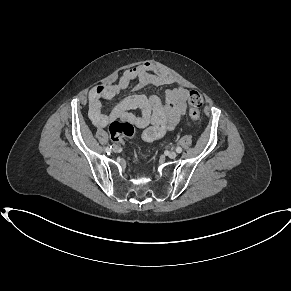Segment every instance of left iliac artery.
<instances>
[{"label":"left iliac artery","mask_w":291,"mask_h":291,"mask_svg":"<svg viewBox=\"0 0 291 291\" xmlns=\"http://www.w3.org/2000/svg\"><path fill=\"white\" fill-rule=\"evenodd\" d=\"M176 152H177V153H181V152H182V148H181V147H177V148H176Z\"/></svg>","instance_id":"obj_1"}]
</instances>
